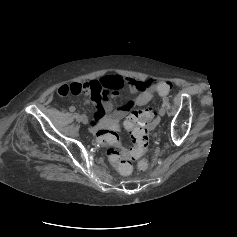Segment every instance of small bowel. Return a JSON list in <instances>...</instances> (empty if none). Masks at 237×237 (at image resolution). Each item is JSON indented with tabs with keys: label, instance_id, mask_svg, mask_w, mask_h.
<instances>
[{
	"label": "small bowel",
	"instance_id": "1",
	"mask_svg": "<svg viewBox=\"0 0 237 237\" xmlns=\"http://www.w3.org/2000/svg\"><path fill=\"white\" fill-rule=\"evenodd\" d=\"M155 81H146L134 78H125L120 75L104 76L98 80L83 83L63 84L57 92L60 96L87 94L91 96L92 102L96 105V111L91 123L90 130L96 131L99 128L116 129L121 121L137 106L149 103L153 97V87ZM128 85L133 97L123 106L114 109L107 96L115 97L119 94V89Z\"/></svg>",
	"mask_w": 237,
	"mask_h": 237
}]
</instances>
